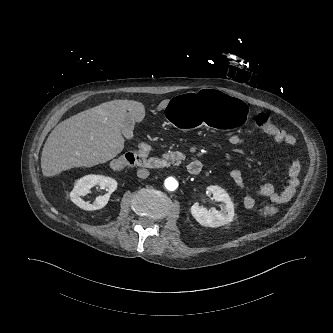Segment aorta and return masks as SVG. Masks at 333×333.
I'll return each instance as SVG.
<instances>
[{
	"mask_svg": "<svg viewBox=\"0 0 333 333\" xmlns=\"http://www.w3.org/2000/svg\"><path fill=\"white\" fill-rule=\"evenodd\" d=\"M165 188L169 191H174L178 187V182L173 177H168L164 181Z\"/></svg>",
	"mask_w": 333,
	"mask_h": 333,
	"instance_id": "obj_1",
	"label": "aorta"
}]
</instances>
